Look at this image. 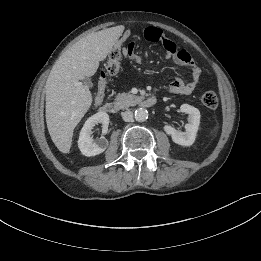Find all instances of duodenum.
Wrapping results in <instances>:
<instances>
[{"instance_id": "410a0bca", "label": "duodenum", "mask_w": 261, "mask_h": 261, "mask_svg": "<svg viewBox=\"0 0 261 261\" xmlns=\"http://www.w3.org/2000/svg\"><path fill=\"white\" fill-rule=\"evenodd\" d=\"M157 102L155 96L144 98L141 101V106L145 108L153 107ZM101 111L108 114H115L119 111V105L116 102H107L101 106Z\"/></svg>"}]
</instances>
